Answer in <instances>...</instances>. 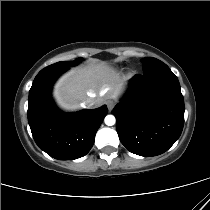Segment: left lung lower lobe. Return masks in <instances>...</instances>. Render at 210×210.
<instances>
[{
	"label": "left lung lower lobe",
	"instance_id": "left-lung-lower-lobe-1",
	"mask_svg": "<svg viewBox=\"0 0 210 210\" xmlns=\"http://www.w3.org/2000/svg\"><path fill=\"white\" fill-rule=\"evenodd\" d=\"M122 144L140 156L167 151L184 125V99L177 77L162 63L135 75L127 96L112 110Z\"/></svg>",
	"mask_w": 210,
	"mask_h": 210
}]
</instances>
